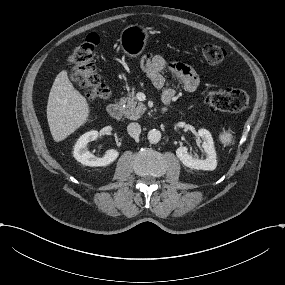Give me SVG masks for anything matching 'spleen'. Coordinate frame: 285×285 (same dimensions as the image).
Segmentation results:
<instances>
[{
	"label": "spleen",
	"instance_id": "obj_1",
	"mask_svg": "<svg viewBox=\"0 0 285 285\" xmlns=\"http://www.w3.org/2000/svg\"><path fill=\"white\" fill-rule=\"evenodd\" d=\"M219 139L224 145H229L232 143L233 136L230 132L224 131L219 135Z\"/></svg>",
	"mask_w": 285,
	"mask_h": 285
}]
</instances>
